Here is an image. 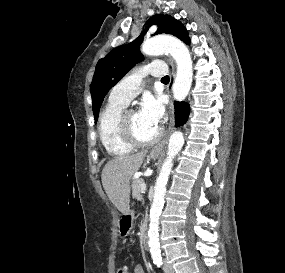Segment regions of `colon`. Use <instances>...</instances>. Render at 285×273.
I'll return each mask as SVG.
<instances>
[{"label":"colon","instance_id":"5ec220e1","mask_svg":"<svg viewBox=\"0 0 285 273\" xmlns=\"http://www.w3.org/2000/svg\"><path fill=\"white\" fill-rule=\"evenodd\" d=\"M117 273H127V269L126 268H119Z\"/></svg>","mask_w":285,"mask_h":273}]
</instances>
